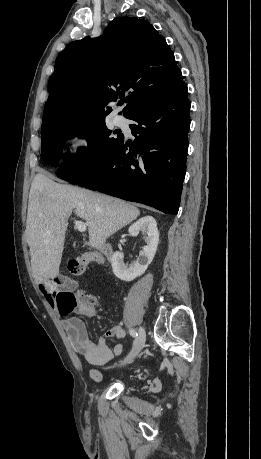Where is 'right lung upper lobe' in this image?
<instances>
[{
	"label": "right lung upper lobe",
	"instance_id": "right-lung-upper-lobe-1",
	"mask_svg": "<svg viewBox=\"0 0 261 459\" xmlns=\"http://www.w3.org/2000/svg\"><path fill=\"white\" fill-rule=\"evenodd\" d=\"M183 77L165 39L136 17L116 18L97 39L71 42L58 55L49 80L41 132L64 124L105 120L118 97L128 118L176 92Z\"/></svg>",
	"mask_w": 261,
	"mask_h": 459
}]
</instances>
